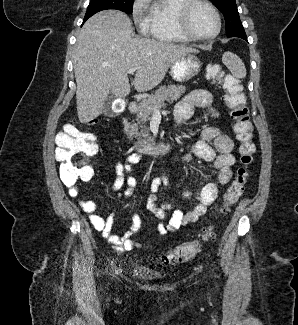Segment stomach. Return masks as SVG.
I'll return each mask as SVG.
<instances>
[{"mask_svg": "<svg viewBox=\"0 0 298 325\" xmlns=\"http://www.w3.org/2000/svg\"><path fill=\"white\" fill-rule=\"evenodd\" d=\"M202 60L195 52H187L172 62L169 74L176 82H186L196 74H199L202 68Z\"/></svg>", "mask_w": 298, "mask_h": 325, "instance_id": "0dacf381", "label": "stomach"}]
</instances>
